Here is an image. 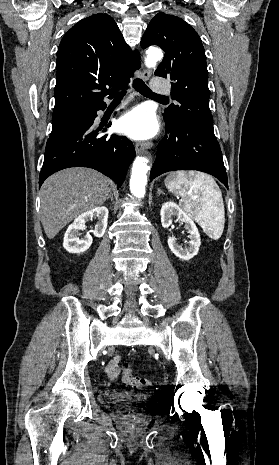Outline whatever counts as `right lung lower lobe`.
<instances>
[{"label": "right lung lower lobe", "mask_w": 279, "mask_h": 465, "mask_svg": "<svg viewBox=\"0 0 279 465\" xmlns=\"http://www.w3.org/2000/svg\"><path fill=\"white\" fill-rule=\"evenodd\" d=\"M105 108L102 100L84 110L79 125L45 151L39 185L54 172L76 166L96 169L114 180L118 188L122 185L135 150L124 136L101 135L102 126L96 128L94 120L97 111Z\"/></svg>", "instance_id": "obj_1"}]
</instances>
